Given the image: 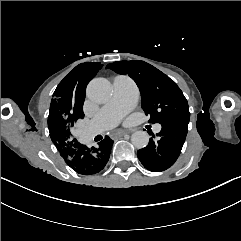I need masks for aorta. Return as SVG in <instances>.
Returning a JSON list of instances; mask_svg holds the SVG:
<instances>
[{"label": "aorta", "mask_w": 241, "mask_h": 241, "mask_svg": "<svg viewBox=\"0 0 241 241\" xmlns=\"http://www.w3.org/2000/svg\"><path fill=\"white\" fill-rule=\"evenodd\" d=\"M112 95L110 82L105 78H95L87 86V96L96 103H105ZM134 147L142 149L149 143V135L146 131H136L131 135Z\"/></svg>", "instance_id": "1"}]
</instances>
